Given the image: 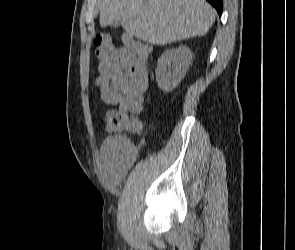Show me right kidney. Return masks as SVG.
I'll use <instances>...</instances> for the list:
<instances>
[{
	"mask_svg": "<svg viewBox=\"0 0 295 250\" xmlns=\"http://www.w3.org/2000/svg\"><path fill=\"white\" fill-rule=\"evenodd\" d=\"M193 53L185 45L165 51L158 60L156 82L164 92L172 91L185 76Z\"/></svg>",
	"mask_w": 295,
	"mask_h": 250,
	"instance_id": "ca27d5eb",
	"label": "right kidney"
}]
</instances>
